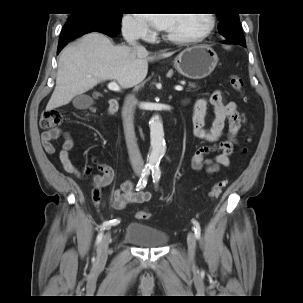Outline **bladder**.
I'll list each match as a JSON object with an SVG mask.
<instances>
[{
    "mask_svg": "<svg viewBox=\"0 0 303 303\" xmlns=\"http://www.w3.org/2000/svg\"><path fill=\"white\" fill-rule=\"evenodd\" d=\"M124 237L143 248H158L165 245L169 240L166 233L136 222L128 224Z\"/></svg>",
    "mask_w": 303,
    "mask_h": 303,
    "instance_id": "31cf9c89",
    "label": "bladder"
}]
</instances>
